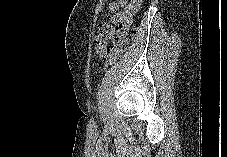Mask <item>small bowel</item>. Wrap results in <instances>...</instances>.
Wrapping results in <instances>:
<instances>
[{"instance_id": "1", "label": "small bowel", "mask_w": 227, "mask_h": 157, "mask_svg": "<svg viewBox=\"0 0 227 157\" xmlns=\"http://www.w3.org/2000/svg\"><path fill=\"white\" fill-rule=\"evenodd\" d=\"M141 5V0H117L111 2L108 6V11L114 13L122 22H121V32L119 36H123L128 23L129 18L139 9Z\"/></svg>"}]
</instances>
